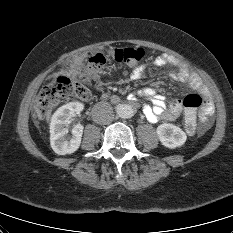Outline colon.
Returning a JSON list of instances; mask_svg holds the SVG:
<instances>
[{
    "label": "colon",
    "instance_id": "5ec220e1",
    "mask_svg": "<svg viewBox=\"0 0 233 233\" xmlns=\"http://www.w3.org/2000/svg\"><path fill=\"white\" fill-rule=\"evenodd\" d=\"M111 57L118 63L130 66L137 65L144 57V50L141 47H126L114 49ZM87 69L90 76L97 75L106 63L102 54H90L86 58ZM90 92L83 84L71 79L66 73L59 72L51 83L44 86L36 99L35 111L38 116L47 114L53 106L63 98L86 101ZM204 104V98L199 94H189L183 100L185 108L186 126L191 127L196 122V112Z\"/></svg>",
    "mask_w": 233,
    "mask_h": 233
}]
</instances>
